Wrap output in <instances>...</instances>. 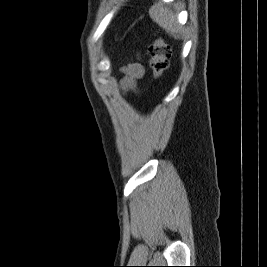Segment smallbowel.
<instances>
[{
    "mask_svg": "<svg viewBox=\"0 0 267 267\" xmlns=\"http://www.w3.org/2000/svg\"><path fill=\"white\" fill-rule=\"evenodd\" d=\"M125 78L123 80V86L125 89L132 88L134 81L142 77L144 73V67L140 63H132L123 68Z\"/></svg>",
    "mask_w": 267,
    "mask_h": 267,
    "instance_id": "1",
    "label": "small bowel"
}]
</instances>
